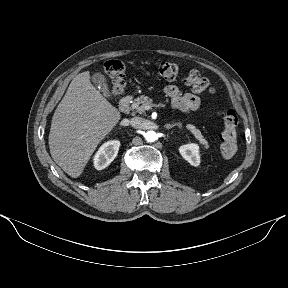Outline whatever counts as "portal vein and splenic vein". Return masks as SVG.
Wrapping results in <instances>:
<instances>
[{"label":"portal vein and splenic vein","instance_id":"obj_1","mask_svg":"<svg viewBox=\"0 0 288 288\" xmlns=\"http://www.w3.org/2000/svg\"><path fill=\"white\" fill-rule=\"evenodd\" d=\"M146 108H147V109H149V108H150V106L148 105V106H146Z\"/></svg>","mask_w":288,"mask_h":288}]
</instances>
